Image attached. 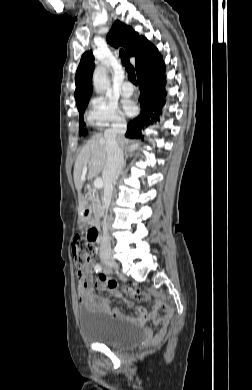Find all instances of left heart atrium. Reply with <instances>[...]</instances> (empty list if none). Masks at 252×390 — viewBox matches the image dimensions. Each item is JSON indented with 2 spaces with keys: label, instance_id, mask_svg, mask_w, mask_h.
<instances>
[{
  "label": "left heart atrium",
  "instance_id": "left-heart-atrium-1",
  "mask_svg": "<svg viewBox=\"0 0 252 390\" xmlns=\"http://www.w3.org/2000/svg\"><path fill=\"white\" fill-rule=\"evenodd\" d=\"M124 109L128 115H133L136 111L135 105L130 101L124 103Z\"/></svg>",
  "mask_w": 252,
  "mask_h": 390
}]
</instances>
